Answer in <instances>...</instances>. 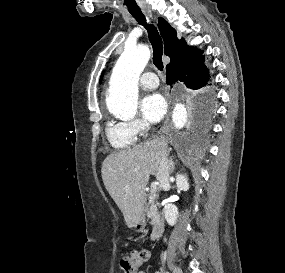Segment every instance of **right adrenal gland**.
<instances>
[{
    "mask_svg": "<svg viewBox=\"0 0 285 273\" xmlns=\"http://www.w3.org/2000/svg\"><path fill=\"white\" fill-rule=\"evenodd\" d=\"M169 162H170V166H171L170 172L172 173V172H174V169H175V163H174L172 158H170Z\"/></svg>",
    "mask_w": 285,
    "mask_h": 273,
    "instance_id": "1",
    "label": "right adrenal gland"
}]
</instances>
